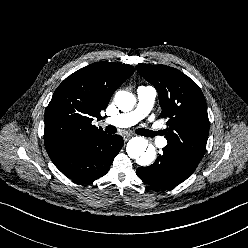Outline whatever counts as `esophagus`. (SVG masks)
<instances>
[{
  "instance_id": "obj_1",
  "label": "esophagus",
  "mask_w": 248,
  "mask_h": 248,
  "mask_svg": "<svg viewBox=\"0 0 248 248\" xmlns=\"http://www.w3.org/2000/svg\"><path fill=\"white\" fill-rule=\"evenodd\" d=\"M131 137H132V134H124V136H123L124 141H127Z\"/></svg>"
}]
</instances>
